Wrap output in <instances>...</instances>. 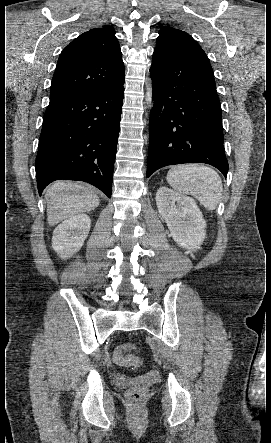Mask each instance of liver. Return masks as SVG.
I'll return each instance as SVG.
<instances>
[{
	"instance_id": "6515ba94",
	"label": "liver",
	"mask_w": 271,
	"mask_h": 443,
	"mask_svg": "<svg viewBox=\"0 0 271 443\" xmlns=\"http://www.w3.org/2000/svg\"><path fill=\"white\" fill-rule=\"evenodd\" d=\"M47 220L56 225L78 212H91L98 208L100 200L92 190L79 182H55L46 192Z\"/></svg>"
}]
</instances>
